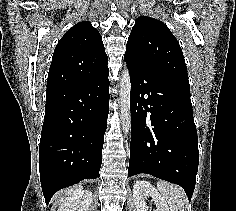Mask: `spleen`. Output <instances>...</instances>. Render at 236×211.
I'll return each instance as SVG.
<instances>
[{
  "instance_id": "3e777b00",
  "label": "spleen",
  "mask_w": 236,
  "mask_h": 211,
  "mask_svg": "<svg viewBox=\"0 0 236 211\" xmlns=\"http://www.w3.org/2000/svg\"><path fill=\"white\" fill-rule=\"evenodd\" d=\"M157 190L166 199L171 211H184L186 194L181 187L165 181H159Z\"/></svg>"
}]
</instances>
